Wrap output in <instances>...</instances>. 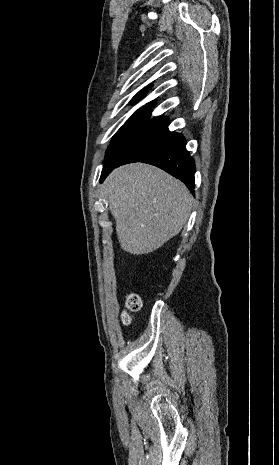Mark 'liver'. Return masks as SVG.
Listing matches in <instances>:
<instances>
[{"instance_id":"obj_1","label":"liver","mask_w":279,"mask_h":465,"mask_svg":"<svg viewBox=\"0 0 279 465\" xmlns=\"http://www.w3.org/2000/svg\"><path fill=\"white\" fill-rule=\"evenodd\" d=\"M103 188L120 247L133 255L151 253L176 236L191 212L193 198L187 187L152 165L120 166Z\"/></svg>"}]
</instances>
